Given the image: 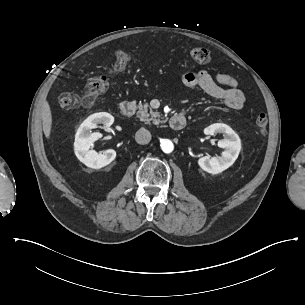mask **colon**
<instances>
[{"mask_svg": "<svg viewBox=\"0 0 305 305\" xmlns=\"http://www.w3.org/2000/svg\"><path fill=\"white\" fill-rule=\"evenodd\" d=\"M190 56L200 64L217 67V63L212 59L210 52L204 47H195L190 50ZM132 59L131 51H122L117 54L113 62L112 72L117 73L127 68ZM108 79L104 74L91 76L86 85L84 95L79 97L72 92H63L59 95V104L68 109L76 107H90L98 99L99 95L108 90ZM268 118L261 113L256 118V126L260 137L265 135Z\"/></svg>", "mask_w": 305, "mask_h": 305, "instance_id": "colon-1", "label": "colon"}]
</instances>
